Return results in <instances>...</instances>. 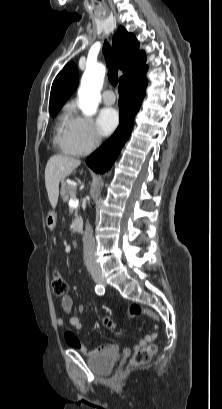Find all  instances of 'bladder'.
Here are the masks:
<instances>
[{
    "label": "bladder",
    "instance_id": "31cf9c89",
    "mask_svg": "<svg viewBox=\"0 0 222 409\" xmlns=\"http://www.w3.org/2000/svg\"><path fill=\"white\" fill-rule=\"evenodd\" d=\"M119 359V355L113 351L104 352L92 356L88 361V366L98 374L110 372Z\"/></svg>",
    "mask_w": 222,
    "mask_h": 409
}]
</instances>
